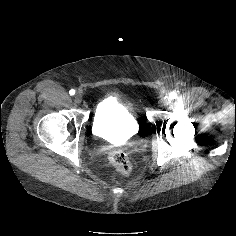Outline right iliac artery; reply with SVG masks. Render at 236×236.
<instances>
[{"label":"right iliac artery","mask_w":236,"mask_h":236,"mask_svg":"<svg viewBox=\"0 0 236 236\" xmlns=\"http://www.w3.org/2000/svg\"><path fill=\"white\" fill-rule=\"evenodd\" d=\"M69 94H70L71 96H73V95L75 94V90H74V89H71V90L69 91Z\"/></svg>","instance_id":"1"}]
</instances>
